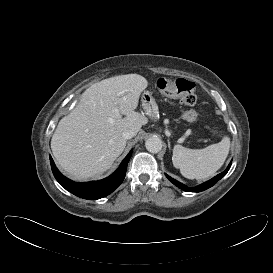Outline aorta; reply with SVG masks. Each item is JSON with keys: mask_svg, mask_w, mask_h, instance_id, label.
Here are the masks:
<instances>
[{"mask_svg": "<svg viewBox=\"0 0 273 273\" xmlns=\"http://www.w3.org/2000/svg\"><path fill=\"white\" fill-rule=\"evenodd\" d=\"M162 141L158 137H150L145 142V147L150 153H158L162 150Z\"/></svg>", "mask_w": 273, "mask_h": 273, "instance_id": "762f6f07", "label": "aorta"}]
</instances>
